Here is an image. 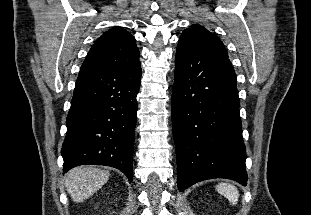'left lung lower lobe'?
<instances>
[{
	"mask_svg": "<svg viewBox=\"0 0 311 215\" xmlns=\"http://www.w3.org/2000/svg\"><path fill=\"white\" fill-rule=\"evenodd\" d=\"M236 83L227 56L180 37L171 102L180 191L212 178L247 184Z\"/></svg>",
	"mask_w": 311,
	"mask_h": 215,
	"instance_id": "1",
	"label": "left lung lower lobe"
}]
</instances>
